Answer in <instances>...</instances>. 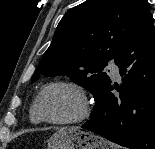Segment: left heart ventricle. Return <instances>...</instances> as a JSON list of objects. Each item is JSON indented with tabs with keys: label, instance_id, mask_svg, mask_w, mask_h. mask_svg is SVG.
<instances>
[{
	"label": "left heart ventricle",
	"instance_id": "1",
	"mask_svg": "<svg viewBox=\"0 0 155 149\" xmlns=\"http://www.w3.org/2000/svg\"><path fill=\"white\" fill-rule=\"evenodd\" d=\"M78 94L67 87L49 88L40 103L42 113L49 119H68L75 117L80 111Z\"/></svg>",
	"mask_w": 155,
	"mask_h": 149
}]
</instances>
